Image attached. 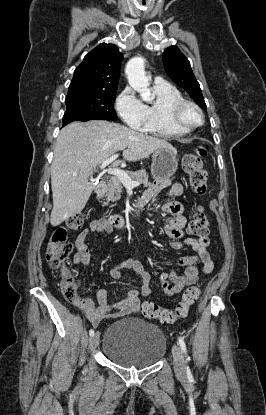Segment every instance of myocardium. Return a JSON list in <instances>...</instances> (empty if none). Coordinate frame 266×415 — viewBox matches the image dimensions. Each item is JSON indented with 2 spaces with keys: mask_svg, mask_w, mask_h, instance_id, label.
I'll return each instance as SVG.
<instances>
[{
  "mask_svg": "<svg viewBox=\"0 0 266 415\" xmlns=\"http://www.w3.org/2000/svg\"><path fill=\"white\" fill-rule=\"evenodd\" d=\"M188 107L193 108L199 114V123L192 124L185 119L184 113ZM169 117L175 126L189 131L202 126L205 121L204 113L202 109L199 107V105L196 104L194 101L185 98L178 99L170 104Z\"/></svg>",
  "mask_w": 266,
  "mask_h": 415,
  "instance_id": "myocardium-1",
  "label": "myocardium"
}]
</instances>
